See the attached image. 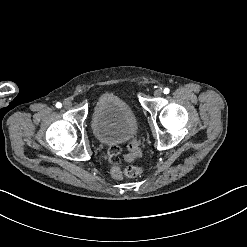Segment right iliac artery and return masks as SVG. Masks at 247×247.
<instances>
[{"mask_svg": "<svg viewBox=\"0 0 247 247\" xmlns=\"http://www.w3.org/2000/svg\"><path fill=\"white\" fill-rule=\"evenodd\" d=\"M56 107H57V108H61V107H62V104H61L60 102H57V103H56Z\"/></svg>", "mask_w": 247, "mask_h": 247, "instance_id": "right-iliac-artery-1", "label": "right iliac artery"}]
</instances>
